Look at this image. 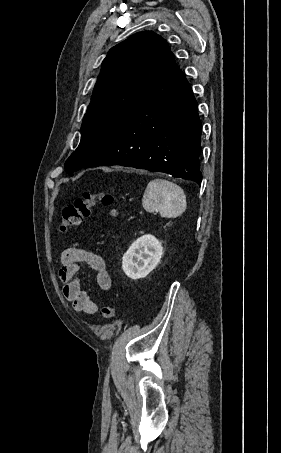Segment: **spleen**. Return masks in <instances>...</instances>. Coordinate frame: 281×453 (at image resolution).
I'll return each instance as SVG.
<instances>
[{
  "label": "spleen",
  "instance_id": "3e777b00",
  "mask_svg": "<svg viewBox=\"0 0 281 453\" xmlns=\"http://www.w3.org/2000/svg\"><path fill=\"white\" fill-rule=\"evenodd\" d=\"M142 204L148 212H160V216L167 218L180 216L187 206L183 188L163 178H154L148 182Z\"/></svg>",
  "mask_w": 281,
  "mask_h": 453
}]
</instances>
